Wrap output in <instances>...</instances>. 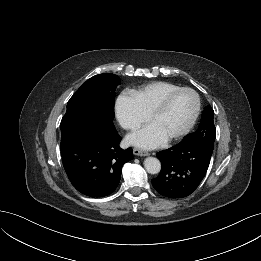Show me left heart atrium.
<instances>
[{"instance_id":"left-heart-atrium-1","label":"left heart atrium","mask_w":261,"mask_h":261,"mask_svg":"<svg viewBox=\"0 0 261 261\" xmlns=\"http://www.w3.org/2000/svg\"><path fill=\"white\" fill-rule=\"evenodd\" d=\"M167 137L153 123L128 136V142L142 149H154L161 146Z\"/></svg>"}]
</instances>
